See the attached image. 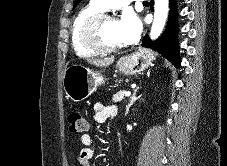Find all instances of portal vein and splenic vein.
Listing matches in <instances>:
<instances>
[{"label":"portal vein and splenic vein","mask_w":227,"mask_h":166,"mask_svg":"<svg viewBox=\"0 0 227 166\" xmlns=\"http://www.w3.org/2000/svg\"><path fill=\"white\" fill-rule=\"evenodd\" d=\"M131 95V92L130 91H127L126 93H125V97H128V96H130Z\"/></svg>","instance_id":"1"}]
</instances>
